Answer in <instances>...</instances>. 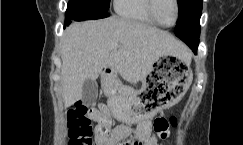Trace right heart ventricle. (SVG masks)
Wrapping results in <instances>:
<instances>
[{
    "label": "right heart ventricle",
    "instance_id": "1",
    "mask_svg": "<svg viewBox=\"0 0 243 145\" xmlns=\"http://www.w3.org/2000/svg\"><path fill=\"white\" fill-rule=\"evenodd\" d=\"M114 7L123 18L149 26L157 25L148 12L147 0H114Z\"/></svg>",
    "mask_w": 243,
    "mask_h": 145
}]
</instances>
